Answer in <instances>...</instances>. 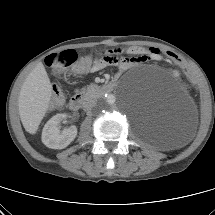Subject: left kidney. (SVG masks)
<instances>
[{
	"instance_id": "left-kidney-1",
	"label": "left kidney",
	"mask_w": 215,
	"mask_h": 215,
	"mask_svg": "<svg viewBox=\"0 0 215 215\" xmlns=\"http://www.w3.org/2000/svg\"><path fill=\"white\" fill-rule=\"evenodd\" d=\"M175 75H176L177 77H180V76L182 75V72H181L180 70H177V71L175 72ZM179 82H180L181 84H184V83L186 82V79H185L184 77H181V78L179 79Z\"/></svg>"
}]
</instances>
